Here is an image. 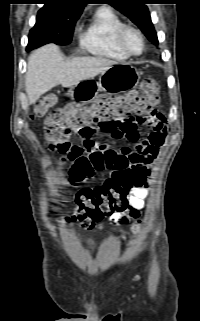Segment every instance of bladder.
<instances>
[{"label":"bladder","instance_id":"1","mask_svg":"<svg viewBox=\"0 0 200 321\" xmlns=\"http://www.w3.org/2000/svg\"><path fill=\"white\" fill-rule=\"evenodd\" d=\"M82 243L89 249L93 250L96 248V244L93 240L86 238V237H82L81 238Z\"/></svg>","mask_w":200,"mask_h":321}]
</instances>
